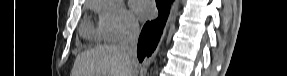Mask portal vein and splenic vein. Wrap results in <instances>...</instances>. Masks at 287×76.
Wrapping results in <instances>:
<instances>
[{"mask_svg":"<svg viewBox=\"0 0 287 76\" xmlns=\"http://www.w3.org/2000/svg\"><path fill=\"white\" fill-rule=\"evenodd\" d=\"M107 76H113V75H111V74H107Z\"/></svg>","mask_w":287,"mask_h":76,"instance_id":"1","label":"portal vein and splenic vein"}]
</instances>
